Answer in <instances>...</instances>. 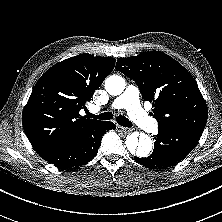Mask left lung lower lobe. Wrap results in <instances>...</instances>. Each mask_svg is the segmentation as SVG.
<instances>
[{
    "label": "left lung lower lobe",
    "instance_id": "obj_1",
    "mask_svg": "<svg viewBox=\"0 0 222 222\" xmlns=\"http://www.w3.org/2000/svg\"><path fill=\"white\" fill-rule=\"evenodd\" d=\"M202 133L183 126L159 125L153 153L147 158L135 157V160L151 169L172 167L196 147Z\"/></svg>",
    "mask_w": 222,
    "mask_h": 222
}]
</instances>
